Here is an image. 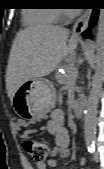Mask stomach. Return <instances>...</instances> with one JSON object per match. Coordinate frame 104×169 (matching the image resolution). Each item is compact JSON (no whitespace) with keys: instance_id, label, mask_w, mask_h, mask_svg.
<instances>
[{"instance_id":"1","label":"stomach","mask_w":104,"mask_h":169,"mask_svg":"<svg viewBox=\"0 0 104 169\" xmlns=\"http://www.w3.org/2000/svg\"><path fill=\"white\" fill-rule=\"evenodd\" d=\"M56 101L54 84L44 78H33L17 89L12 99V106L20 118L37 121L55 107Z\"/></svg>"}]
</instances>
